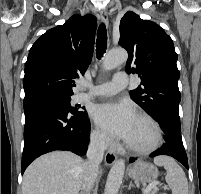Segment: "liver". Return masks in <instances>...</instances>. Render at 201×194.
Masks as SVG:
<instances>
[{
  "instance_id": "6515ba94",
  "label": "liver",
  "mask_w": 201,
  "mask_h": 194,
  "mask_svg": "<svg viewBox=\"0 0 201 194\" xmlns=\"http://www.w3.org/2000/svg\"><path fill=\"white\" fill-rule=\"evenodd\" d=\"M85 162L67 151L45 154L25 170L22 194H79Z\"/></svg>"
}]
</instances>
